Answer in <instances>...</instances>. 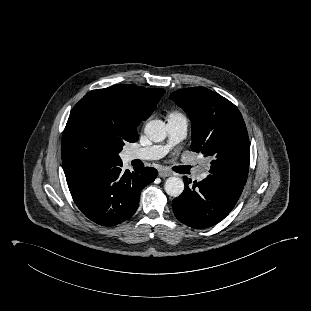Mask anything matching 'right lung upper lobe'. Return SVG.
Returning a JSON list of instances; mask_svg holds the SVG:
<instances>
[{
    "label": "right lung upper lobe",
    "instance_id": "right-lung-upper-lobe-1",
    "mask_svg": "<svg viewBox=\"0 0 311 311\" xmlns=\"http://www.w3.org/2000/svg\"><path fill=\"white\" fill-rule=\"evenodd\" d=\"M164 89L118 84L87 93L76 105L98 103L126 138L138 140L137 126L154 111Z\"/></svg>",
    "mask_w": 311,
    "mask_h": 311
}]
</instances>
